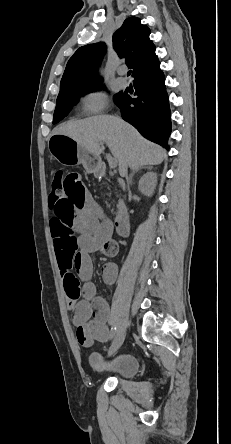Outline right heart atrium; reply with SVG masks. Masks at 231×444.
I'll use <instances>...</instances> for the list:
<instances>
[{
  "mask_svg": "<svg viewBox=\"0 0 231 444\" xmlns=\"http://www.w3.org/2000/svg\"><path fill=\"white\" fill-rule=\"evenodd\" d=\"M107 107V96L100 89L86 91L80 101V108L84 114H97Z\"/></svg>",
  "mask_w": 231,
  "mask_h": 444,
  "instance_id": "d8ad5b80",
  "label": "right heart atrium"
}]
</instances>
